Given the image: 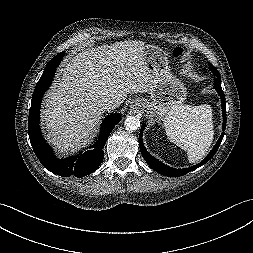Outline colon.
<instances>
[{
	"label": "colon",
	"mask_w": 253,
	"mask_h": 253,
	"mask_svg": "<svg viewBox=\"0 0 253 253\" xmlns=\"http://www.w3.org/2000/svg\"><path fill=\"white\" fill-rule=\"evenodd\" d=\"M173 54H174L175 57H179V56H181L182 51H181L180 49H175V50L173 51Z\"/></svg>",
	"instance_id": "colon-1"
}]
</instances>
